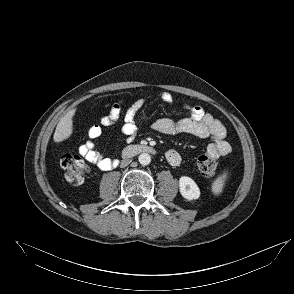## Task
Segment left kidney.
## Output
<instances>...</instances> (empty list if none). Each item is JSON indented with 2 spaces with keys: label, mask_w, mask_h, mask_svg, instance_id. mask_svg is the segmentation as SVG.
Segmentation results:
<instances>
[{
  "label": "left kidney",
  "mask_w": 294,
  "mask_h": 294,
  "mask_svg": "<svg viewBox=\"0 0 294 294\" xmlns=\"http://www.w3.org/2000/svg\"><path fill=\"white\" fill-rule=\"evenodd\" d=\"M181 195L187 200H195L200 197V189L193 179L188 176H181L179 179Z\"/></svg>",
  "instance_id": "obj_1"
}]
</instances>
